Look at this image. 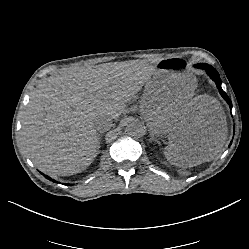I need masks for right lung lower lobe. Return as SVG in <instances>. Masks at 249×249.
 <instances>
[{"instance_id":"obj_1","label":"right lung lower lobe","mask_w":249,"mask_h":249,"mask_svg":"<svg viewBox=\"0 0 249 249\" xmlns=\"http://www.w3.org/2000/svg\"><path fill=\"white\" fill-rule=\"evenodd\" d=\"M46 178H48L49 180H51V181H53L54 182V180L53 179H51L50 177H48V176H45Z\"/></svg>"}]
</instances>
